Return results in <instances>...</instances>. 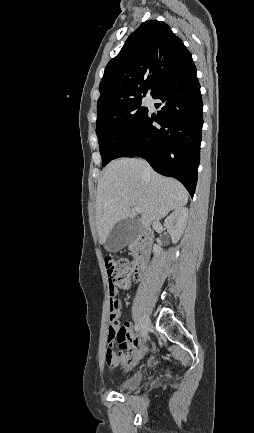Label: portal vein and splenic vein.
Here are the masks:
<instances>
[{
    "label": "portal vein and splenic vein",
    "mask_w": 254,
    "mask_h": 433,
    "mask_svg": "<svg viewBox=\"0 0 254 433\" xmlns=\"http://www.w3.org/2000/svg\"><path fill=\"white\" fill-rule=\"evenodd\" d=\"M134 211L137 212V213H140V212H141V210H140L139 207H134Z\"/></svg>",
    "instance_id": "portal-vein-and-splenic-vein-1"
}]
</instances>
